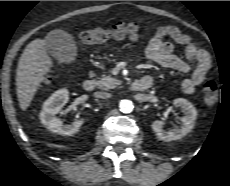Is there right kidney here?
I'll return each mask as SVG.
<instances>
[{
	"mask_svg": "<svg viewBox=\"0 0 230 186\" xmlns=\"http://www.w3.org/2000/svg\"><path fill=\"white\" fill-rule=\"evenodd\" d=\"M69 100V92L67 89H60L54 92L43 104L40 113V120L46 128L60 135L71 136L78 132L84 123L83 119L76 120L72 124H63L55 115L59 113L63 105Z\"/></svg>",
	"mask_w": 230,
	"mask_h": 186,
	"instance_id": "right-kidney-1",
	"label": "right kidney"
}]
</instances>
